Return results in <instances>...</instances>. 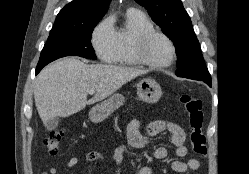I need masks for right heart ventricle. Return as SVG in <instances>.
Returning <instances> with one entry per match:
<instances>
[{
	"instance_id": "e07e8e85",
	"label": "right heart ventricle",
	"mask_w": 249,
	"mask_h": 174,
	"mask_svg": "<svg viewBox=\"0 0 249 174\" xmlns=\"http://www.w3.org/2000/svg\"><path fill=\"white\" fill-rule=\"evenodd\" d=\"M149 29H154L152 22L145 14L137 10H129L124 17L122 27L115 29L118 49L111 63L120 66H137V61L132 52L136 37Z\"/></svg>"
}]
</instances>
